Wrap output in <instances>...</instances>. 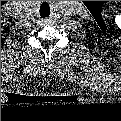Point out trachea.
<instances>
[{
	"instance_id": "3493384b",
	"label": "trachea",
	"mask_w": 121,
	"mask_h": 121,
	"mask_svg": "<svg viewBox=\"0 0 121 121\" xmlns=\"http://www.w3.org/2000/svg\"><path fill=\"white\" fill-rule=\"evenodd\" d=\"M39 14L41 17L46 18L51 14L50 6L47 2H43L39 9Z\"/></svg>"
}]
</instances>
